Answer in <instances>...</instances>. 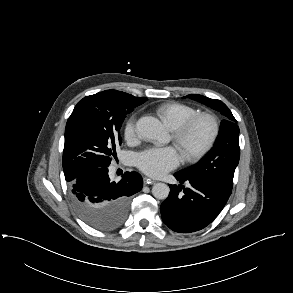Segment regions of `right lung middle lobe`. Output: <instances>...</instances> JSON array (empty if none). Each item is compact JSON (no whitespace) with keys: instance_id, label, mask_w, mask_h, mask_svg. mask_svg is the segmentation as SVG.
Returning <instances> with one entry per match:
<instances>
[{"instance_id":"1","label":"right lung middle lobe","mask_w":293,"mask_h":293,"mask_svg":"<svg viewBox=\"0 0 293 293\" xmlns=\"http://www.w3.org/2000/svg\"><path fill=\"white\" fill-rule=\"evenodd\" d=\"M140 104L134 96L114 90L86 96L77 103L65 130L63 170L69 186L81 173L110 165L116 157V145L122 143L119 131L125 116ZM74 207L97 229L111 230L123 222L118 214H86Z\"/></svg>"}]
</instances>
